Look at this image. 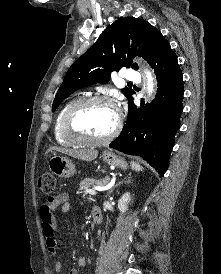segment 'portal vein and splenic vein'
Returning a JSON list of instances; mask_svg holds the SVG:
<instances>
[{"mask_svg": "<svg viewBox=\"0 0 221 274\" xmlns=\"http://www.w3.org/2000/svg\"><path fill=\"white\" fill-rule=\"evenodd\" d=\"M104 189H105V187H94L93 189L85 190V194L95 195L97 193V191H102Z\"/></svg>", "mask_w": 221, "mask_h": 274, "instance_id": "1", "label": "portal vein and splenic vein"}]
</instances>
